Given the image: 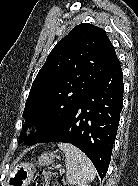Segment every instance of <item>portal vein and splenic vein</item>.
Instances as JSON below:
<instances>
[{
    "instance_id": "18ae733b",
    "label": "portal vein and splenic vein",
    "mask_w": 138,
    "mask_h": 186,
    "mask_svg": "<svg viewBox=\"0 0 138 186\" xmlns=\"http://www.w3.org/2000/svg\"><path fill=\"white\" fill-rule=\"evenodd\" d=\"M65 172V170L64 169H60V173L62 174V173H64Z\"/></svg>"
}]
</instances>
